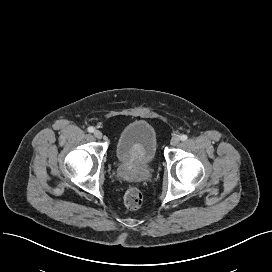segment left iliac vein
<instances>
[{"label": "left iliac vein", "mask_w": 272, "mask_h": 272, "mask_svg": "<svg viewBox=\"0 0 272 272\" xmlns=\"http://www.w3.org/2000/svg\"><path fill=\"white\" fill-rule=\"evenodd\" d=\"M179 142H180V138H179L178 136H174V137L171 139L170 144H171L172 146H176V145L179 144Z\"/></svg>", "instance_id": "1"}]
</instances>
